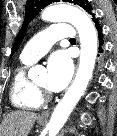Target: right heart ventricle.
<instances>
[{"mask_svg":"<svg viewBox=\"0 0 117 136\" xmlns=\"http://www.w3.org/2000/svg\"><path fill=\"white\" fill-rule=\"evenodd\" d=\"M28 65L29 62L22 60V65L15 71L10 87V99L16 108L35 110L41 106L43 100L35 83L26 74Z\"/></svg>","mask_w":117,"mask_h":136,"instance_id":"1","label":"right heart ventricle"}]
</instances>
